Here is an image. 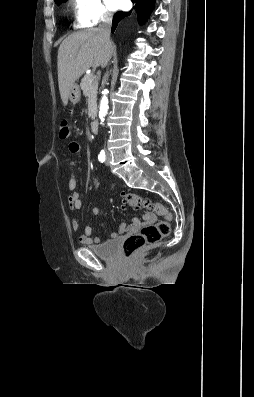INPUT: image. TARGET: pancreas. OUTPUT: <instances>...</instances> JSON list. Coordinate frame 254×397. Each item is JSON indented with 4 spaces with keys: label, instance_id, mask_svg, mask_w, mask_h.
Wrapping results in <instances>:
<instances>
[{
    "label": "pancreas",
    "instance_id": "pancreas-1",
    "mask_svg": "<svg viewBox=\"0 0 254 397\" xmlns=\"http://www.w3.org/2000/svg\"><path fill=\"white\" fill-rule=\"evenodd\" d=\"M80 86L83 94L87 97L88 115L90 118H94L96 115L98 78L93 73L87 74L83 77Z\"/></svg>",
    "mask_w": 254,
    "mask_h": 397
}]
</instances>
